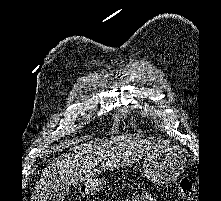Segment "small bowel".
Wrapping results in <instances>:
<instances>
[{
    "label": "small bowel",
    "instance_id": "c3829d8e",
    "mask_svg": "<svg viewBox=\"0 0 221 201\" xmlns=\"http://www.w3.org/2000/svg\"><path fill=\"white\" fill-rule=\"evenodd\" d=\"M131 201H156L148 193H139L132 198Z\"/></svg>",
    "mask_w": 221,
    "mask_h": 201
}]
</instances>
